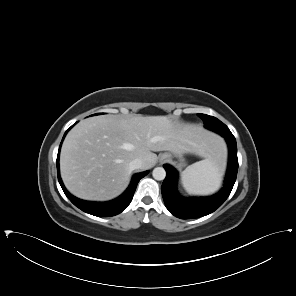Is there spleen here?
Here are the masks:
<instances>
[{"label":"spleen","instance_id":"1","mask_svg":"<svg viewBox=\"0 0 296 296\" xmlns=\"http://www.w3.org/2000/svg\"><path fill=\"white\" fill-rule=\"evenodd\" d=\"M222 143V142H221ZM224 146L204 160L188 166L181 174L185 190L192 195H208L219 189L225 170Z\"/></svg>","mask_w":296,"mask_h":296}]
</instances>
